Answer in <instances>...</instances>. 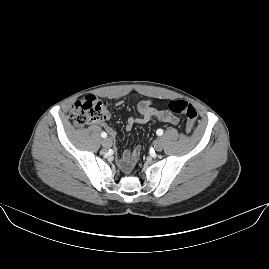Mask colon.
<instances>
[{"label":"colon","mask_w":269,"mask_h":269,"mask_svg":"<svg viewBox=\"0 0 269 269\" xmlns=\"http://www.w3.org/2000/svg\"><path fill=\"white\" fill-rule=\"evenodd\" d=\"M105 104L94 95H88L77 100L70 111L73 124L77 127H82L100 121L103 118V113H109V107L113 106L114 101L108 98ZM168 108L175 114H184L186 116L187 125L184 135L186 137L190 136L192 134L191 127L195 124L194 120L197 119V112L194 107L184 100L174 99L168 103Z\"/></svg>","instance_id":"obj_1"}]
</instances>
